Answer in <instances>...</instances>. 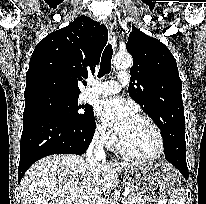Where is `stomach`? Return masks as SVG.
I'll use <instances>...</instances> for the list:
<instances>
[{"label": "stomach", "mask_w": 206, "mask_h": 204, "mask_svg": "<svg viewBox=\"0 0 206 204\" xmlns=\"http://www.w3.org/2000/svg\"><path fill=\"white\" fill-rule=\"evenodd\" d=\"M126 180L140 203L164 202L180 185V175L165 162L136 164L125 170Z\"/></svg>", "instance_id": "obj_1"}]
</instances>
